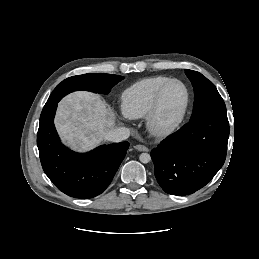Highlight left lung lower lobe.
<instances>
[{"label": "left lung lower lobe", "instance_id": "1", "mask_svg": "<svg viewBox=\"0 0 259 259\" xmlns=\"http://www.w3.org/2000/svg\"><path fill=\"white\" fill-rule=\"evenodd\" d=\"M229 137L226 112L190 119L151 151L155 176L172 195H188L205 186L224 164Z\"/></svg>", "mask_w": 259, "mask_h": 259}]
</instances>
